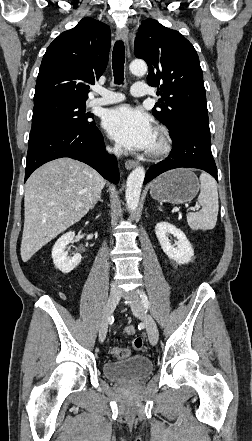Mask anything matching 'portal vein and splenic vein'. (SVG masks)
Here are the masks:
<instances>
[{"instance_id":"1","label":"portal vein and splenic vein","mask_w":252,"mask_h":441,"mask_svg":"<svg viewBox=\"0 0 252 441\" xmlns=\"http://www.w3.org/2000/svg\"><path fill=\"white\" fill-rule=\"evenodd\" d=\"M191 210H198L199 209V206H196V207H192V208H190Z\"/></svg>"}]
</instances>
